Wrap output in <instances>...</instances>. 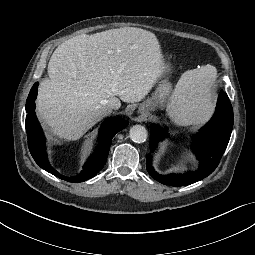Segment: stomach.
I'll list each match as a JSON object with an SVG mask.
<instances>
[{
    "instance_id": "stomach-1",
    "label": "stomach",
    "mask_w": 255,
    "mask_h": 255,
    "mask_svg": "<svg viewBox=\"0 0 255 255\" xmlns=\"http://www.w3.org/2000/svg\"><path fill=\"white\" fill-rule=\"evenodd\" d=\"M170 70L171 66L168 63L163 62V72L160 82L151 96L140 105V110H142L144 107L150 111L155 110L156 108L163 109L165 105L169 103L171 99L172 85L168 81L167 75L169 74Z\"/></svg>"
}]
</instances>
